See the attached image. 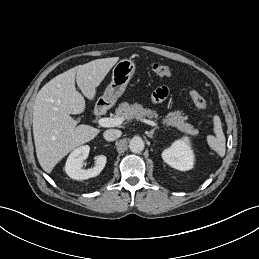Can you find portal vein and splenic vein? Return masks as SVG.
Segmentation results:
<instances>
[{
    "label": "portal vein and splenic vein",
    "mask_w": 259,
    "mask_h": 259,
    "mask_svg": "<svg viewBox=\"0 0 259 259\" xmlns=\"http://www.w3.org/2000/svg\"><path fill=\"white\" fill-rule=\"evenodd\" d=\"M139 120L143 123H146L151 126H157V124L154 121L145 119V118H139ZM124 119L122 117H115V118H100L98 120V124L102 127H115L119 126L123 123Z\"/></svg>",
    "instance_id": "obj_1"
}]
</instances>
